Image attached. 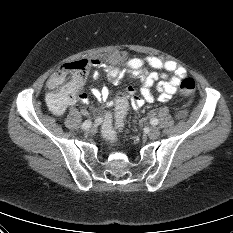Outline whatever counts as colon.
Listing matches in <instances>:
<instances>
[{"mask_svg":"<svg viewBox=\"0 0 233 233\" xmlns=\"http://www.w3.org/2000/svg\"><path fill=\"white\" fill-rule=\"evenodd\" d=\"M90 67L89 61L83 59L69 62L57 69L53 74V84L57 87L73 88L83 82ZM196 90V83L192 78H183L179 84V91L184 96L192 95ZM128 110V100L124 94L118 95L102 122V132L105 139L114 144L116 130L121 131Z\"/></svg>","mask_w":233,"mask_h":233,"instance_id":"5ec220e1","label":"colon"}]
</instances>
